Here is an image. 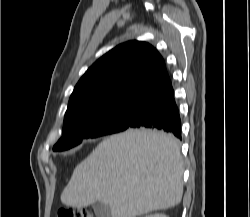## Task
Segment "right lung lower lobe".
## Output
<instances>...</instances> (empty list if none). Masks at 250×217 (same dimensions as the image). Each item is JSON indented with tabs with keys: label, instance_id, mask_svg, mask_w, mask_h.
<instances>
[{
	"label": "right lung lower lobe",
	"instance_id": "98d812e1",
	"mask_svg": "<svg viewBox=\"0 0 250 217\" xmlns=\"http://www.w3.org/2000/svg\"><path fill=\"white\" fill-rule=\"evenodd\" d=\"M129 128L164 130L181 139V119L171 81L139 101Z\"/></svg>",
	"mask_w": 250,
	"mask_h": 217
}]
</instances>
